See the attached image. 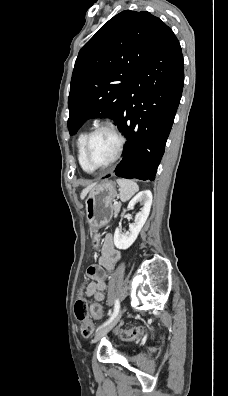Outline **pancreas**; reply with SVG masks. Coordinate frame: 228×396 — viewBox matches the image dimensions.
Here are the masks:
<instances>
[{
	"label": "pancreas",
	"mask_w": 228,
	"mask_h": 396,
	"mask_svg": "<svg viewBox=\"0 0 228 396\" xmlns=\"http://www.w3.org/2000/svg\"><path fill=\"white\" fill-rule=\"evenodd\" d=\"M120 207H121V204H120V203L114 204V205L112 206V209H113V211H114V215H117V213H118L119 210H120Z\"/></svg>",
	"instance_id": "1"
}]
</instances>
